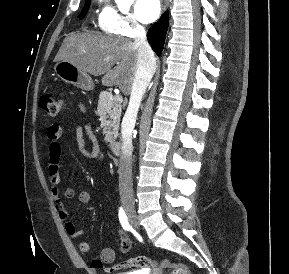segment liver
Wrapping results in <instances>:
<instances>
[{"label": "liver", "instance_id": "6515ba94", "mask_svg": "<svg viewBox=\"0 0 289 274\" xmlns=\"http://www.w3.org/2000/svg\"><path fill=\"white\" fill-rule=\"evenodd\" d=\"M137 58L138 47L127 39L72 32L64 39L54 61L66 60L91 75H104L103 85H116L127 95L132 89Z\"/></svg>", "mask_w": 289, "mask_h": 274}]
</instances>
